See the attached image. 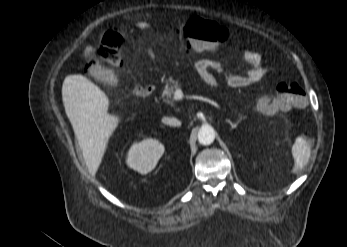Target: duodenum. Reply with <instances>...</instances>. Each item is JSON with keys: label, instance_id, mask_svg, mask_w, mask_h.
<instances>
[{"label": "duodenum", "instance_id": "obj_1", "mask_svg": "<svg viewBox=\"0 0 347 247\" xmlns=\"http://www.w3.org/2000/svg\"><path fill=\"white\" fill-rule=\"evenodd\" d=\"M153 91V86L149 83H142L133 89V93L137 97H147L149 96Z\"/></svg>", "mask_w": 347, "mask_h": 247}]
</instances>
